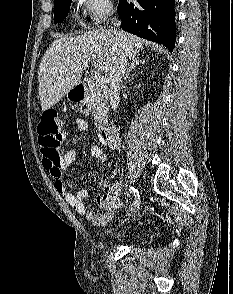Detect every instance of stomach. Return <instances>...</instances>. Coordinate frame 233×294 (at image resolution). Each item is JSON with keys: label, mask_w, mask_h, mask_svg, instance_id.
<instances>
[{"label": "stomach", "mask_w": 233, "mask_h": 294, "mask_svg": "<svg viewBox=\"0 0 233 294\" xmlns=\"http://www.w3.org/2000/svg\"><path fill=\"white\" fill-rule=\"evenodd\" d=\"M67 98L72 102L82 99V97L79 95L78 91L75 89H72L67 93Z\"/></svg>", "instance_id": "stomach-1"}]
</instances>
